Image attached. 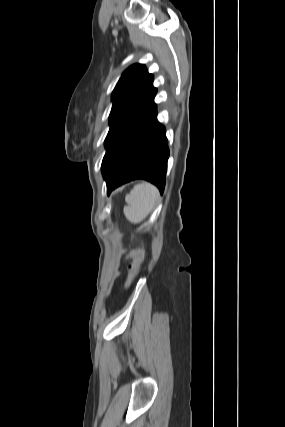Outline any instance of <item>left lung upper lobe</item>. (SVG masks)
<instances>
[{
    "label": "left lung upper lobe",
    "mask_w": 285,
    "mask_h": 427,
    "mask_svg": "<svg viewBox=\"0 0 285 427\" xmlns=\"http://www.w3.org/2000/svg\"><path fill=\"white\" fill-rule=\"evenodd\" d=\"M156 92V88L153 87V76L144 65L134 64L122 74L112 93L110 130L105 139L106 153L151 106Z\"/></svg>",
    "instance_id": "obj_1"
}]
</instances>
